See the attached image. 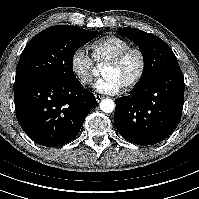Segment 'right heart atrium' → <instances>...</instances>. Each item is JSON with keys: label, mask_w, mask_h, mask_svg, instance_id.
Wrapping results in <instances>:
<instances>
[{"label": "right heart atrium", "mask_w": 199, "mask_h": 199, "mask_svg": "<svg viewBox=\"0 0 199 199\" xmlns=\"http://www.w3.org/2000/svg\"><path fill=\"white\" fill-rule=\"evenodd\" d=\"M72 73L82 85L92 82L95 73V63L87 50L83 47L77 48L70 59Z\"/></svg>", "instance_id": "1"}]
</instances>
